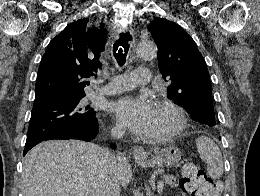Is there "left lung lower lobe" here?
Instances as JSON below:
<instances>
[{
  "label": "left lung lower lobe",
  "mask_w": 260,
  "mask_h": 196,
  "mask_svg": "<svg viewBox=\"0 0 260 196\" xmlns=\"http://www.w3.org/2000/svg\"><path fill=\"white\" fill-rule=\"evenodd\" d=\"M191 118L201 124H211L215 121L213 107L197 106L191 112Z\"/></svg>",
  "instance_id": "0a47b994"
}]
</instances>
